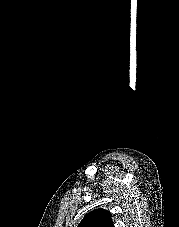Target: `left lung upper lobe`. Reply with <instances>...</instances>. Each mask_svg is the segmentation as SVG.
<instances>
[{"mask_svg": "<svg viewBox=\"0 0 179 227\" xmlns=\"http://www.w3.org/2000/svg\"><path fill=\"white\" fill-rule=\"evenodd\" d=\"M77 227H115L109 211L95 209L82 219Z\"/></svg>", "mask_w": 179, "mask_h": 227, "instance_id": "1", "label": "left lung upper lobe"}]
</instances>
